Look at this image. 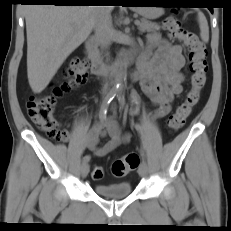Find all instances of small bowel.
Returning <instances> with one entry per match:
<instances>
[{
  "mask_svg": "<svg viewBox=\"0 0 231 231\" xmlns=\"http://www.w3.org/2000/svg\"><path fill=\"white\" fill-rule=\"evenodd\" d=\"M184 64L180 45H173L158 34L148 36L146 51L135 79L139 81L144 94L157 106L156 116H167L172 111L175 97L183 92L181 69ZM131 100L130 113L135 114L139 102L135 91L131 93ZM104 136H108L109 140L99 146V140ZM129 138V134H123L115 121L105 119L93 126L83 146L96 157H104L120 144L128 142Z\"/></svg>",
  "mask_w": 231,
  "mask_h": 231,
  "instance_id": "obj_1",
  "label": "small bowel"
}]
</instances>
